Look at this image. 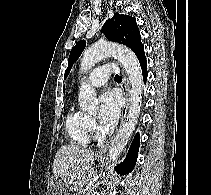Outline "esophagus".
<instances>
[{
	"label": "esophagus",
	"instance_id": "1",
	"mask_svg": "<svg viewBox=\"0 0 211 195\" xmlns=\"http://www.w3.org/2000/svg\"><path fill=\"white\" fill-rule=\"evenodd\" d=\"M121 88L123 91L124 99H125V104L122 108V113H121V121H120V126L123 124L125 117L127 115L128 107H129V95H128V83H127V78L124 74V71L122 70V83H121ZM110 141L106 142L104 145L100 147L98 152L96 153L97 157H104V154L109 146Z\"/></svg>",
	"mask_w": 211,
	"mask_h": 195
}]
</instances>
